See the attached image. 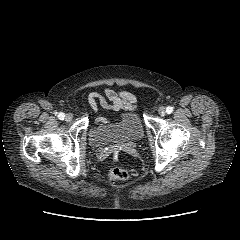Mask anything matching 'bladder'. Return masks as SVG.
<instances>
[{
  "instance_id": "obj_1",
  "label": "bladder",
  "mask_w": 240,
  "mask_h": 240,
  "mask_svg": "<svg viewBox=\"0 0 240 240\" xmlns=\"http://www.w3.org/2000/svg\"><path fill=\"white\" fill-rule=\"evenodd\" d=\"M144 136L140 117L133 111L123 112L116 120L96 123L90 131L89 142L93 148L136 145Z\"/></svg>"
}]
</instances>
